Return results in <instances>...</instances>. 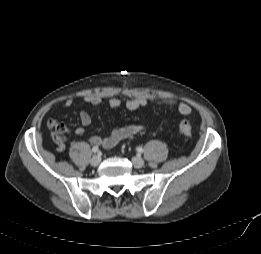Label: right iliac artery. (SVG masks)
<instances>
[{
  "label": "right iliac artery",
  "mask_w": 261,
  "mask_h": 254,
  "mask_svg": "<svg viewBox=\"0 0 261 254\" xmlns=\"http://www.w3.org/2000/svg\"><path fill=\"white\" fill-rule=\"evenodd\" d=\"M92 151H93L94 153H98V152H99L98 146H94V147L92 148Z\"/></svg>",
  "instance_id": "obj_1"
}]
</instances>
